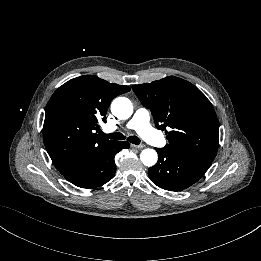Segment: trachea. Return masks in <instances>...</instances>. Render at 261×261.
Returning a JSON list of instances; mask_svg holds the SVG:
<instances>
[{
  "label": "trachea",
  "instance_id": "trachea-1",
  "mask_svg": "<svg viewBox=\"0 0 261 261\" xmlns=\"http://www.w3.org/2000/svg\"><path fill=\"white\" fill-rule=\"evenodd\" d=\"M103 137L109 138V139H114V140H125V136L122 133H110V134H102ZM127 141H129L130 143L139 145L140 144V139L137 136H129L127 138Z\"/></svg>",
  "mask_w": 261,
  "mask_h": 261
}]
</instances>
